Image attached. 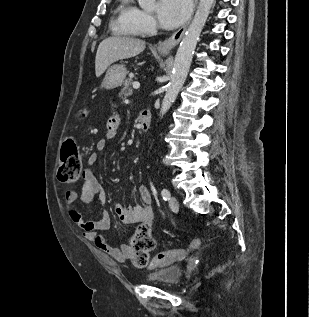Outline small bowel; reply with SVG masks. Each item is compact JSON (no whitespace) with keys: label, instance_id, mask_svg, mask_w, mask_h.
I'll use <instances>...</instances> for the list:
<instances>
[{"label":"small bowel","instance_id":"1","mask_svg":"<svg viewBox=\"0 0 309 317\" xmlns=\"http://www.w3.org/2000/svg\"><path fill=\"white\" fill-rule=\"evenodd\" d=\"M119 117L113 115L107 122L105 137L96 144L97 151H104L107 143L116 138L118 133ZM98 154L91 153L87 158L88 167L83 170V186L81 192L68 190L65 194L66 211L70 219L81 229L85 239L93 243L101 252L122 263L133 257L134 252L130 245L121 247H112L109 245L101 233L110 228L111 219L106 211H102L98 220H85L81 214L77 202L90 204L98 197L101 199L104 195V189L96 178L92 167L97 163ZM141 205L125 207L119 203H114L113 208L118 219L124 224L140 223L150 226L153 221L152 196L149 190L141 186L138 189Z\"/></svg>","mask_w":309,"mask_h":317}]
</instances>
